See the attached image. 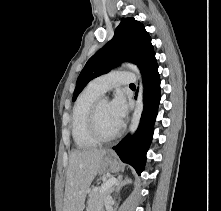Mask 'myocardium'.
Returning <instances> with one entry per match:
<instances>
[{
    "mask_svg": "<svg viewBox=\"0 0 221 211\" xmlns=\"http://www.w3.org/2000/svg\"><path fill=\"white\" fill-rule=\"evenodd\" d=\"M104 100L105 99L101 98V97L99 99H97L92 104V106L89 110V113H88V117H87L88 132L94 140H96L97 142H100V143L110 142V141L116 139L117 137H119L121 134V129H118L115 133H113L112 135H108V136L102 134V132L100 131V128L98 125V110H99L100 104Z\"/></svg>",
    "mask_w": 221,
    "mask_h": 211,
    "instance_id": "myocardium-1",
    "label": "myocardium"
}]
</instances>
